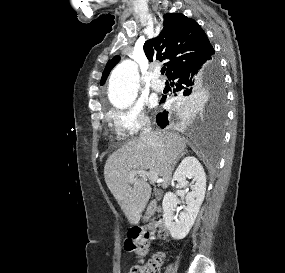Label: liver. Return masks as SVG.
<instances>
[{"label": "liver", "mask_w": 285, "mask_h": 273, "mask_svg": "<svg viewBox=\"0 0 285 273\" xmlns=\"http://www.w3.org/2000/svg\"><path fill=\"white\" fill-rule=\"evenodd\" d=\"M159 139L161 148L148 140L134 138L111 154L105 163L107 187L131 221H135L151 197L146 177L136 176L134 182L128 181L131 171H154L161 177L162 187L167 188L173 167L186 148L185 138L176 133L160 132Z\"/></svg>", "instance_id": "6515ba94"}]
</instances>
